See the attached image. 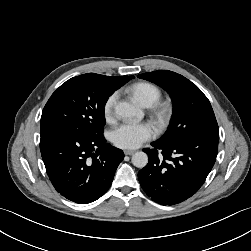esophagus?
Listing matches in <instances>:
<instances>
[{
  "instance_id": "obj_1",
  "label": "esophagus",
  "mask_w": 251,
  "mask_h": 251,
  "mask_svg": "<svg viewBox=\"0 0 251 251\" xmlns=\"http://www.w3.org/2000/svg\"><path fill=\"white\" fill-rule=\"evenodd\" d=\"M134 152V150H124L125 155H132Z\"/></svg>"
}]
</instances>
